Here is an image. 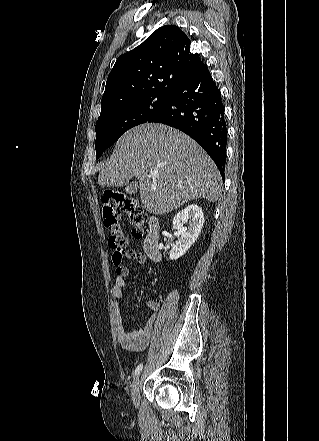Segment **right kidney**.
<instances>
[{"mask_svg":"<svg viewBox=\"0 0 319 441\" xmlns=\"http://www.w3.org/2000/svg\"><path fill=\"white\" fill-rule=\"evenodd\" d=\"M188 228L184 227L187 223ZM204 224V215L202 209L197 204H190L179 211L173 218L172 226L180 235L178 241L173 245L169 258L176 260L183 256L197 240Z\"/></svg>","mask_w":319,"mask_h":441,"instance_id":"right-kidney-1","label":"right kidney"}]
</instances>
